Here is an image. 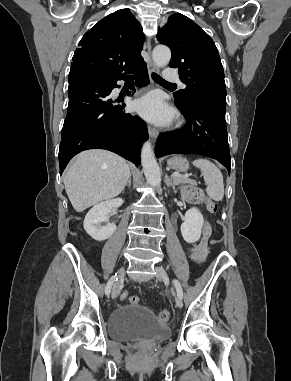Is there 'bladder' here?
I'll use <instances>...</instances> for the list:
<instances>
[{"instance_id":"obj_1","label":"bladder","mask_w":291,"mask_h":381,"mask_svg":"<svg viewBox=\"0 0 291 381\" xmlns=\"http://www.w3.org/2000/svg\"><path fill=\"white\" fill-rule=\"evenodd\" d=\"M108 334L116 341H159L170 335V327L146 306L131 303L109 314Z\"/></svg>"}]
</instances>
